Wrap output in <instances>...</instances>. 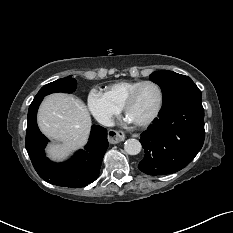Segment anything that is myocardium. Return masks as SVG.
<instances>
[{
    "instance_id": "1",
    "label": "myocardium",
    "mask_w": 233,
    "mask_h": 233,
    "mask_svg": "<svg viewBox=\"0 0 233 233\" xmlns=\"http://www.w3.org/2000/svg\"><path fill=\"white\" fill-rule=\"evenodd\" d=\"M145 85H153L156 87V89L158 90V94H159V99H158V103L157 106L155 108V110L152 112V114L147 117L144 120H140V121H134V123L138 126H147L149 124H151L159 115L162 106H163V102H164V95H163V91L162 88L160 87V85L158 83H156L155 81H143L141 82L138 86H136L131 93L128 95L127 99L124 102L123 105V110L125 112V114L128 116V111L130 109V107L132 106V104L135 102L139 91L145 86Z\"/></svg>"
}]
</instances>
